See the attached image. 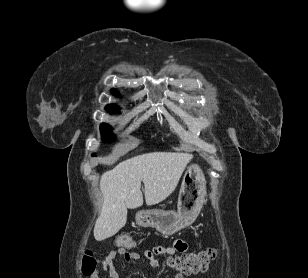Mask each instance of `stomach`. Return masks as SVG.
Here are the masks:
<instances>
[{"mask_svg":"<svg viewBox=\"0 0 308 278\" xmlns=\"http://www.w3.org/2000/svg\"><path fill=\"white\" fill-rule=\"evenodd\" d=\"M206 192L204 173L197 164H192L182 179L177 212L157 209L139 211L136 223L155 228L163 235H172L195 221L203 207Z\"/></svg>","mask_w":308,"mask_h":278,"instance_id":"1","label":"stomach"}]
</instances>
